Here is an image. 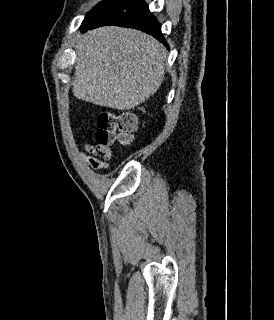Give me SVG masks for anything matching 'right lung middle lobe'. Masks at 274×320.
I'll return each mask as SVG.
<instances>
[{
  "label": "right lung middle lobe",
  "mask_w": 274,
  "mask_h": 320,
  "mask_svg": "<svg viewBox=\"0 0 274 320\" xmlns=\"http://www.w3.org/2000/svg\"><path fill=\"white\" fill-rule=\"evenodd\" d=\"M124 0H103L98 3L92 10L86 15L81 27L95 22L97 19L113 10L120 5Z\"/></svg>",
  "instance_id": "dd1d6c3e"
}]
</instances>
